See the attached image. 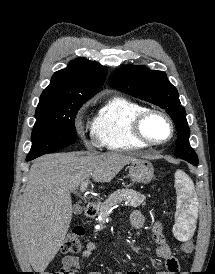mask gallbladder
<instances>
[{
    "mask_svg": "<svg viewBox=\"0 0 215 274\" xmlns=\"http://www.w3.org/2000/svg\"><path fill=\"white\" fill-rule=\"evenodd\" d=\"M73 211L76 214H80L82 212V207L80 205H74Z\"/></svg>",
    "mask_w": 215,
    "mask_h": 274,
    "instance_id": "gallbladder-1",
    "label": "gallbladder"
}]
</instances>
